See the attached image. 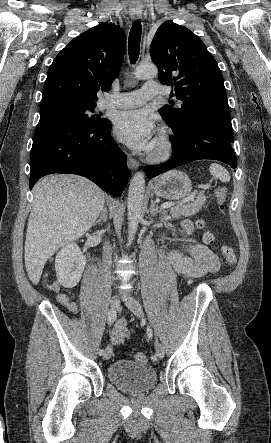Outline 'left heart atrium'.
Returning <instances> with one entry per match:
<instances>
[{
  "mask_svg": "<svg viewBox=\"0 0 271 443\" xmlns=\"http://www.w3.org/2000/svg\"><path fill=\"white\" fill-rule=\"evenodd\" d=\"M114 134L136 151H148L154 144V121L144 110L134 109L117 115Z\"/></svg>",
  "mask_w": 271,
  "mask_h": 443,
  "instance_id": "1",
  "label": "left heart atrium"
}]
</instances>
